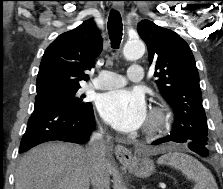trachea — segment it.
Segmentation results:
<instances>
[{"label":"trachea","mask_w":223,"mask_h":189,"mask_svg":"<svg viewBox=\"0 0 223 189\" xmlns=\"http://www.w3.org/2000/svg\"><path fill=\"white\" fill-rule=\"evenodd\" d=\"M107 29L113 49H118L121 43L123 30L122 18L118 11L111 10Z\"/></svg>","instance_id":"1"}]
</instances>
